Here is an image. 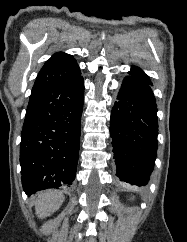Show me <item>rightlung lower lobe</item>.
I'll list each match as a JSON object with an SVG mask.
<instances>
[{"instance_id":"1","label":"right lung lower lobe","mask_w":187,"mask_h":242,"mask_svg":"<svg viewBox=\"0 0 187 242\" xmlns=\"http://www.w3.org/2000/svg\"><path fill=\"white\" fill-rule=\"evenodd\" d=\"M83 101L81 73L65 83L32 91L20 144L21 179L28 196L74 181Z\"/></svg>"}]
</instances>
